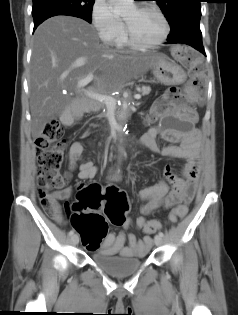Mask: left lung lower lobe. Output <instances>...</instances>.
Segmentation results:
<instances>
[{"instance_id": "left-lung-lower-lobe-1", "label": "left lung lower lobe", "mask_w": 238, "mask_h": 315, "mask_svg": "<svg viewBox=\"0 0 238 315\" xmlns=\"http://www.w3.org/2000/svg\"><path fill=\"white\" fill-rule=\"evenodd\" d=\"M167 43L187 44L206 55L202 44V33L199 27V22H191L183 26L178 32L168 36Z\"/></svg>"}]
</instances>
